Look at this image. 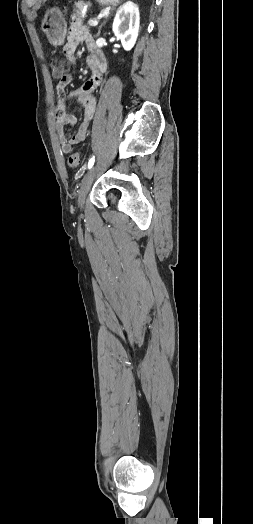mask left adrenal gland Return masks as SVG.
Returning a JSON list of instances; mask_svg holds the SVG:
<instances>
[{"instance_id":"left-adrenal-gland-1","label":"left adrenal gland","mask_w":253,"mask_h":524,"mask_svg":"<svg viewBox=\"0 0 253 524\" xmlns=\"http://www.w3.org/2000/svg\"><path fill=\"white\" fill-rule=\"evenodd\" d=\"M105 23H106V21H104V22L99 26L97 36L100 35L101 28H102V26H103Z\"/></svg>"}]
</instances>
